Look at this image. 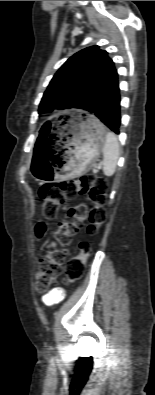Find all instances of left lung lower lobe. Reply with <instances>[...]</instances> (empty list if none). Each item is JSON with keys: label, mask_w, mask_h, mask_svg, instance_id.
Returning <instances> with one entry per match:
<instances>
[{"label": "left lung lower lobe", "mask_w": 155, "mask_h": 395, "mask_svg": "<svg viewBox=\"0 0 155 395\" xmlns=\"http://www.w3.org/2000/svg\"><path fill=\"white\" fill-rule=\"evenodd\" d=\"M120 101L118 73L114 69L80 103L79 109L92 113L113 132L119 134L121 122Z\"/></svg>", "instance_id": "left-lung-lower-lobe-1"}]
</instances>
